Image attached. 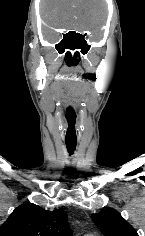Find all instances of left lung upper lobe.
<instances>
[{"instance_id":"left-lung-upper-lobe-1","label":"left lung upper lobe","mask_w":145,"mask_h":236,"mask_svg":"<svg viewBox=\"0 0 145 236\" xmlns=\"http://www.w3.org/2000/svg\"><path fill=\"white\" fill-rule=\"evenodd\" d=\"M92 218L105 236H138L136 230L112 208L92 214Z\"/></svg>"}]
</instances>
